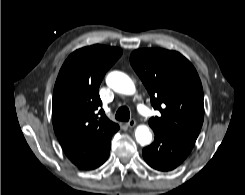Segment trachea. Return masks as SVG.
<instances>
[{
  "mask_svg": "<svg viewBox=\"0 0 245 195\" xmlns=\"http://www.w3.org/2000/svg\"><path fill=\"white\" fill-rule=\"evenodd\" d=\"M115 118L120 121H129L130 112L126 106H122L116 112Z\"/></svg>",
  "mask_w": 245,
  "mask_h": 195,
  "instance_id": "1",
  "label": "trachea"
}]
</instances>
